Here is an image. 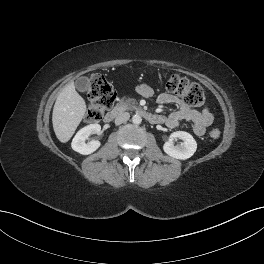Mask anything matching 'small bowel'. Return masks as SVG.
I'll return each mask as SVG.
<instances>
[{
	"label": "small bowel",
	"instance_id": "obj_1",
	"mask_svg": "<svg viewBox=\"0 0 264 264\" xmlns=\"http://www.w3.org/2000/svg\"><path fill=\"white\" fill-rule=\"evenodd\" d=\"M136 92L146 98L153 95V90L146 84L137 86ZM157 103L162 105L173 104L178 107L176 111L170 113L168 116H163V123L169 128H176L182 120H187L190 122V129L193 134L202 136L206 128L213 122V115L207 106H204L201 110L194 109L174 94L161 93L157 97Z\"/></svg>",
	"mask_w": 264,
	"mask_h": 264
}]
</instances>
